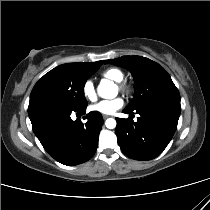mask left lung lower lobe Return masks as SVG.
I'll return each instance as SVG.
<instances>
[{
    "mask_svg": "<svg viewBox=\"0 0 210 210\" xmlns=\"http://www.w3.org/2000/svg\"><path fill=\"white\" fill-rule=\"evenodd\" d=\"M181 112L179 102L157 101L123 113L139 114L131 119L116 118V135L122 152L135 160H151L160 155L172 139Z\"/></svg>",
    "mask_w": 210,
    "mask_h": 210,
    "instance_id": "obj_1",
    "label": "left lung lower lobe"
}]
</instances>
